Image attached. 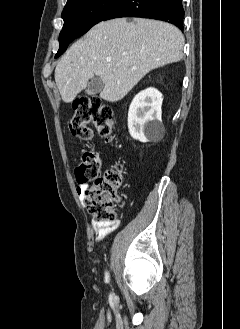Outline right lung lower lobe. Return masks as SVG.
<instances>
[{
	"label": "right lung lower lobe",
	"mask_w": 240,
	"mask_h": 329,
	"mask_svg": "<svg viewBox=\"0 0 240 329\" xmlns=\"http://www.w3.org/2000/svg\"><path fill=\"white\" fill-rule=\"evenodd\" d=\"M181 0H122L103 19L141 17L166 21L183 31Z\"/></svg>",
	"instance_id": "1"
}]
</instances>
